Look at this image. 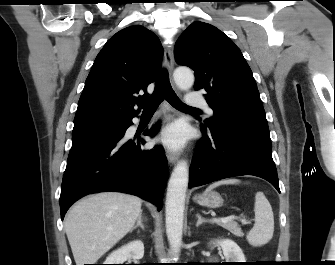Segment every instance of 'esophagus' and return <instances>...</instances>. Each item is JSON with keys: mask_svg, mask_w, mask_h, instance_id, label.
Segmentation results:
<instances>
[{"mask_svg": "<svg viewBox=\"0 0 335 265\" xmlns=\"http://www.w3.org/2000/svg\"><path fill=\"white\" fill-rule=\"evenodd\" d=\"M164 65L171 76L174 67V55L172 46L168 45L164 49ZM166 156L168 161L172 164H175L179 159V155L176 152L169 150L167 151Z\"/></svg>", "mask_w": 335, "mask_h": 265, "instance_id": "obj_1", "label": "esophagus"}]
</instances>
